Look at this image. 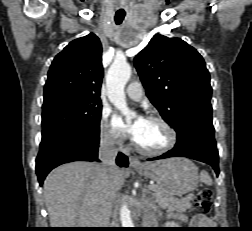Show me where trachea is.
Masks as SVG:
<instances>
[{
  "mask_svg": "<svg viewBox=\"0 0 252 231\" xmlns=\"http://www.w3.org/2000/svg\"><path fill=\"white\" fill-rule=\"evenodd\" d=\"M124 17H125V13L124 12H116L115 17H114L115 23L117 25L121 24L122 21L124 20Z\"/></svg>",
  "mask_w": 252,
  "mask_h": 231,
  "instance_id": "trachea-1",
  "label": "trachea"
}]
</instances>
